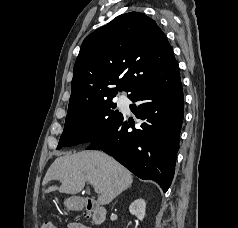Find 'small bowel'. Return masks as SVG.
<instances>
[{
    "instance_id": "small-bowel-1",
    "label": "small bowel",
    "mask_w": 238,
    "mask_h": 228,
    "mask_svg": "<svg viewBox=\"0 0 238 228\" xmlns=\"http://www.w3.org/2000/svg\"><path fill=\"white\" fill-rule=\"evenodd\" d=\"M68 228H90V227L79 222H72L68 225Z\"/></svg>"
}]
</instances>
